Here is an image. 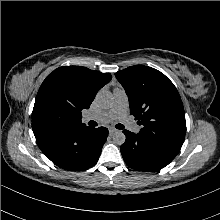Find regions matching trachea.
Instances as JSON below:
<instances>
[{
	"label": "trachea",
	"mask_w": 220,
	"mask_h": 220,
	"mask_svg": "<svg viewBox=\"0 0 220 220\" xmlns=\"http://www.w3.org/2000/svg\"><path fill=\"white\" fill-rule=\"evenodd\" d=\"M115 127L117 129H124L125 128L124 125H122V124H117Z\"/></svg>",
	"instance_id": "obj_1"
}]
</instances>
